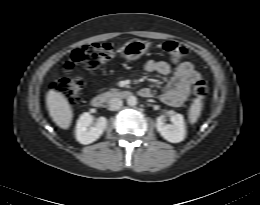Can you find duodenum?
I'll use <instances>...</instances> for the list:
<instances>
[{"mask_svg":"<svg viewBox=\"0 0 260 205\" xmlns=\"http://www.w3.org/2000/svg\"><path fill=\"white\" fill-rule=\"evenodd\" d=\"M132 93L125 89H113L92 97L91 103L94 107H102L104 104L114 98H129Z\"/></svg>","mask_w":260,"mask_h":205,"instance_id":"410a0bca","label":"duodenum"}]
</instances>
